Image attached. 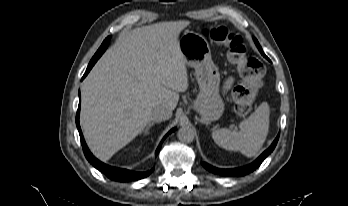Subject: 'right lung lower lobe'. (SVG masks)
<instances>
[{"mask_svg": "<svg viewBox=\"0 0 348 206\" xmlns=\"http://www.w3.org/2000/svg\"><path fill=\"white\" fill-rule=\"evenodd\" d=\"M108 45V42L104 41L102 43V45L100 46V48L97 50L96 54L93 56V58L91 59L87 70L84 74V76L82 77V79H84V77L89 73V71L91 70V68L94 66V64L96 63V61L101 57V55L104 53V51L106 50ZM79 112H80V103H79V107H78V111H77V115H76V125L79 131V135H80V139H81V144L83 147V151L84 154L87 158V160L99 171H101L102 173H104L108 178L115 180V181H134V180H139L142 178L147 177L148 175H150L154 169L148 171V172H134V171H130V170H126V169H120V168H115V167H111L108 166L102 162H100L98 159H96L92 153L89 151L85 140L83 138L82 132H81V128L79 125ZM175 130V128H173L172 130H170L168 132V134H170L171 132H173ZM168 134L166 136H168ZM166 136L164 137V139L166 138ZM161 144L158 146L157 150H156V155L158 154V152L160 151L161 148Z\"/></svg>", "mask_w": 348, "mask_h": 206, "instance_id": "right-lung-lower-lobe-1", "label": "right lung lower lobe"}]
</instances>
